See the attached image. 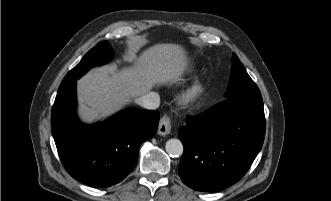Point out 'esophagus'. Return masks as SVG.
Returning a JSON list of instances; mask_svg holds the SVG:
<instances>
[{
	"label": "esophagus",
	"instance_id": "34e87169",
	"mask_svg": "<svg viewBox=\"0 0 331 201\" xmlns=\"http://www.w3.org/2000/svg\"><path fill=\"white\" fill-rule=\"evenodd\" d=\"M171 131V120L169 116L164 115L161 117L159 126H158V134L165 136L168 135Z\"/></svg>",
	"mask_w": 331,
	"mask_h": 201
}]
</instances>
